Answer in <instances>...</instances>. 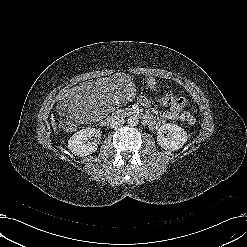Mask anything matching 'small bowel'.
<instances>
[{
    "mask_svg": "<svg viewBox=\"0 0 247 247\" xmlns=\"http://www.w3.org/2000/svg\"><path fill=\"white\" fill-rule=\"evenodd\" d=\"M156 81L153 78L148 80V86L151 88H155ZM142 103L145 106H148L149 103L147 99H143ZM187 103L185 100L180 98H175L174 101L169 105L170 109L163 113V117L168 120H177L180 122H184L187 120L188 116H190V112L183 111L184 107H186ZM146 122L150 127H156L158 125V120L153 115H148L146 117Z\"/></svg>",
    "mask_w": 247,
    "mask_h": 247,
    "instance_id": "small-bowel-1",
    "label": "small bowel"
}]
</instances>
